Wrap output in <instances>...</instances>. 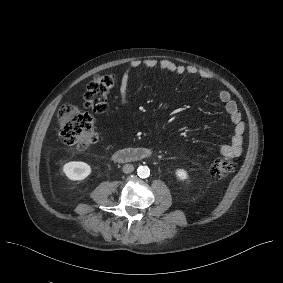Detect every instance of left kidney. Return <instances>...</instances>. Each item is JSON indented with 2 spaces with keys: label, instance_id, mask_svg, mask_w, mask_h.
I'll list each match as a JSON object with an SVG mask.
<instances>
[{
  "label": "left kidney",
  "instance_id": "5707ae66",
  "mask_svg": "<svg viewBox=\"0 0 283 283\" xmlns=\"http://www.w3.org/2000/svg\"><path fill=\"white\" fill-rule=\"evenodd\" d=\"M175 174L180 180H183V181L188 178V174H187L186 170H184V169H177Z\"/></svg>",
  "mask_w": 283,
  "mask_h": 283
}]
</instances>
